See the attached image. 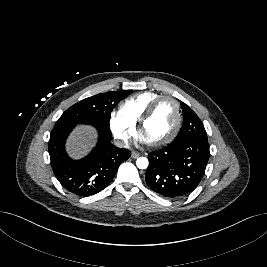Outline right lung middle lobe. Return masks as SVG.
Segmentation results:
<instances>
[{"label":"right lung middle lobe","mask_w":267,"mask_h":267,"mask_svg":"<svg viewBox=\"0 0 267 267\" xmlns=\"http://www.w3.org/2000/svg\"><path fill=\"white\" fill-rule=\"evenodd\" d=\"M132 90L112 91L86 98L67 109L55 125L101 124L109 126L114 107Z\"/></svg>","instance_id":"right-lung-middle-lobe-1"}]
</instances>
